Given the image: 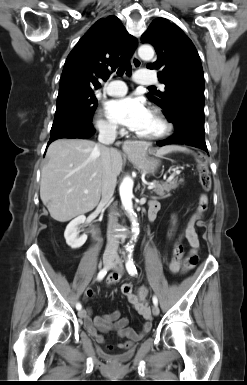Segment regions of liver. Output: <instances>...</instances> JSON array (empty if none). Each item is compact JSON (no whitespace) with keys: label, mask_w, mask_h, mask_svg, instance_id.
<instances>
[{"label":"liver","mask_w":247,"mask_h":385,"mask_svg":"<svg viewBox=\"0 0 247 385\" xmlns=\"http://www.w3.org/2000/svg\"><path fill=\"white\" fill-rule=\"evenodd\" d=\"M103 152L100 144L80 138L58 139L50 144L48 161L41 172L40 198L54 220L67 222L98 205ZM109 155L113 173L118 176L122 155L114 148L109 149Z\"/></svg>","instance_id":"6515ba94"}]
</instances>
